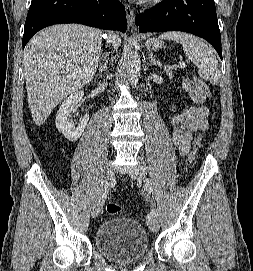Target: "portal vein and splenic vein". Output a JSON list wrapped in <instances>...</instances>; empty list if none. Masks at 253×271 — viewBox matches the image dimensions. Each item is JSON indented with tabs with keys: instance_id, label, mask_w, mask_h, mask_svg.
Listing matches in <instances>:
<instances>
[{
	"instance_id": "obj_1",
	"label": "portal vein and splenic vein",
	"mask_w": 253,
	"mask_h": 271,
	"mask_svg": "<svg viewBox=\"0 0 253 271\" xmlns=\"http://www.w3.org/2000/svg\"><path fill=\"white\" fill-rule=\"evenodd\" d=\"M179 67H180V68H185L186 65H185V63H181Z\"/></svg>"
}]
</instances>
